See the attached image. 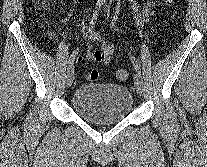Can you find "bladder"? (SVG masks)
I'll return each mask as SVG.
<instances>
[{
  "label": "bladder",
  "mask_w": 207,
  "mask_h": 167,
  "mask_svg": "<svg viewBox=\"0 0 207 167\" xmlns=\"http://www.w3.org/2000/svg\"><path fill=\"white\" fill-rule=\"evenodd\" d=\"M72 105L88 121L114 123L130 114L133 97L129 89L120 84H85L74 92Z\"/></svg>",
  "instance_id": "obj_1"
}]
</instances>
